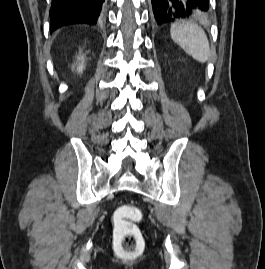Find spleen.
<instances>
[{"label": "spleen", "mask_w": 265, "mask_h": 269, "mask_svg": "<svg viewBox=\"0 0 265 269\" xmlns=\"http://www.w3.org/2000/svg\"><path fill=\"white\" fill-rule=\"evenodd\" d=\"M170 35L188 55L204 63L210 55V46L205 31L195 23H174Z\"/></svg>", "instance_id": "3e777b00"}]
</instances>
